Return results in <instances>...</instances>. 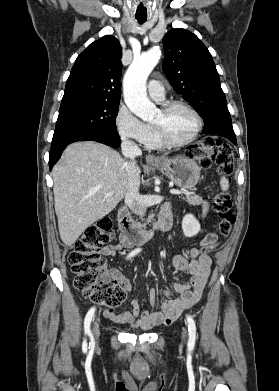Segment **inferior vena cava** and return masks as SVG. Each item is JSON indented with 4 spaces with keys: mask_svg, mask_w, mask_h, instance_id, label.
Returning a JSON list of instances; mask_svg holds the SVG:
<instances>
[{
    "mask_svg": "<svg viewBox=\"0 0 279 391\" xmlns=\"http://www.w3.org/2000/svg\"><path fill=\"white\" fill-rule=\"evenodd\" d=\"M122 153L130 159L126 162V172L128 176V188L125 195V203L129 206L130 210L143 217L146 213V206L144 205L142 198L138 192L140 186V176L134 159L142 154L140 148L132 141L124 138L121 144Z\"/></svg>",
    "mask_w": 279,
    "mask_h": 391,
    "instance_id": "inferior-vena-cava-1",
    "label": "inferior vena cava"
}]
</instances>
